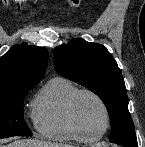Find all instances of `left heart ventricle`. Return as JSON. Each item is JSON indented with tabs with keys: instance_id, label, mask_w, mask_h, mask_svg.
<instances>
[{
	"instance_id": "obj_1",
	"label": "left heart ventricle",
	"mask_w": 145,
	"mask_h": 147,
	"mask_svg": "<svg viewBox=\"0 0 145 147\" xmlns=\"http://www.w3.org/2000/svg\"><path fill=\"white\" fill-rule=\"evenodd\" d=\"M76 114L83 130L97 134L105 126V115L100 104L90 95H81L76 102Z\"/></svg>"
}]
</instances>
